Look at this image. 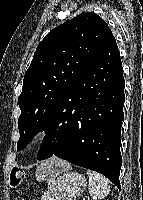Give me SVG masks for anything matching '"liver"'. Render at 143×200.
<instances>
[{
  "label": "liver",
  "mask_w": 143,
  "mask_h": 200,
  "mask_svg": "<svg viewBox=\"0 0 143 200\" xmlns=\"http://www.w3.org/2000/svg\"><path fill=\"white\" fill-rule=\"evenodd\" d=\"M56 166V168H54ZM70 168V164L66 161L60 160L56 157H52L37 167L35 176L37 181L48 180L50 177L54 176L60 171V169Z\"/></svg>",
  "instance_id": "1"
}]
</instances>
